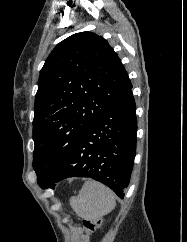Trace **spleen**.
I'll return each mask as SVG.
<instances>
[{
	"label": "spleen",
	"instance_id": "3e777b00",
	"mask_svg": "<svg viewBox=\"0 0 187 242\" xmlns=\"http://www.w3.org/2000/svg\"><path fill=\"white\" fill-rule=\"evenodd\" d=\"M76 214L84 219L94 220L110 213L116 205V196L108 187L94 180H88L77 197L70 200Z\"/></svg>",
	"mask_w": 187,
	"mask_h": 242
}]
</instances>
